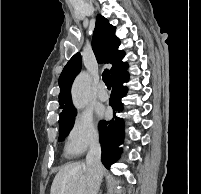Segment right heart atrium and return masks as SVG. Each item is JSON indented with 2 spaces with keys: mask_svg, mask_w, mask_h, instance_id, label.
<instances>
[{
  "mask_svg": "<svg viewBox=\"0 0 201 194\" xmlns=\"http://www.w3.org/2000/svg\"><path fill=\"white\" fill-rule=\"evenodd\" d=\"M98 140V131L93 116L88 112L77 114L66 136V150L77 154L94 145Z\"/></svg>",
  "mask_w": 201,
  "mask_h": 194,
  "instance_id": "right-heart-atrium-1",
  "label": "right heart atrium"
}]
</instances>
